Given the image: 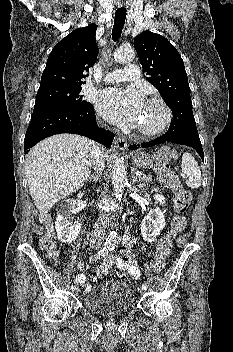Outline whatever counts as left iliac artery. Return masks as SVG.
Instances as JSON below:
<instances>
[{
    "instance_id": "44dca946",
    "label": "left iliac artery",
    "mask_w": 233,
    "mask_h": 352,
    "mask_svg": "<svg viewBox=\"0 0 233 352\" xmlns=\"http://www.w3.org/2000/svg\"><path fill=\"white\" fill-rule=\"evenodd\" d=\"M142 288H143L144 290H147L148 285H147L146 283H144V284L142 285Z\"/></svg>"
}]
</instances>
